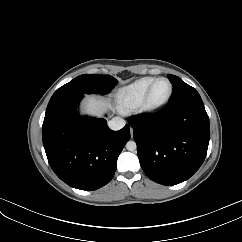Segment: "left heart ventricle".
Segmentation results:
<instances>
[{
  "label": "left heart ventricle",
  "instance_id": "obj_1",
  "mask_svg": "<svg viewBox=\"0 0 242 242\" xmlns=\"http://www.w3.org/2000/svg\"><path fill=\"white\" fill-rule=\"evenodd\" d=\"M169 91V84L165 80H160L154 87L152 98L155 101L162 100L166 97Z\"/></svg>",
  "mask_w": 242,
  "mask_h": 242
}]
</instances>
